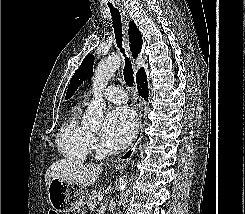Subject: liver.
Returning a JSON list of instances; mask_svg holds the SVG:
<instances>
[{"label": "liver", "mask_w": 245, "mask_h": 214, "mask_svg": "<svg viewBox=\"0 0 245 214\" xmlns=\"http://www.w3.org/2000/svg\"><path fill=\"white\" fill-rule=\"evenodd\" d=\"M102 173V167L95 164H83L71 159H61L54 162L45 173V183L52 178H58L81 187L91 186Z\"/></svg>", "instance_id": "6515ba94"}]
</instances>
